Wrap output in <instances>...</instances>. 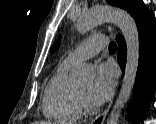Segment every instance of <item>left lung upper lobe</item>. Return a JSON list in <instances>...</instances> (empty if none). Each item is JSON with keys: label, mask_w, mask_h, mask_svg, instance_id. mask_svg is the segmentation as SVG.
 I'll use <instances>...</instances> for the list:
<instances>
[{"label": "left lung upper lobe", "mask_w": 156, "mask_h": 124, "mask_svg": "<svg viewBox=\"0 0 156 124\" xmlns=\"http://www.w3.org/2000/svg\"><path fill=\"white\" fill-rule=\"evenodd\" d=\"M107 2L112 5L119 8H122L126 11H128L132 16L137 11L138 7L142 3V1H136V0H107ZM60 41H56L54 45L51 48V52L55 51L59 47Z\"/></svg>", "instance_id": "1"}]
</instances>
